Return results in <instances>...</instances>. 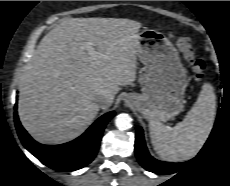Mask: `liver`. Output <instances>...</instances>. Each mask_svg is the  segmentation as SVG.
Returning <instances> with one entry per match:
<instances>
[{
	"label": "liver",
	"mask_w": 230,
	"mask_h": 186,
	"mask_svg": "<svg viewBox=\"0 0 230 186\" xmlns=\"http://www.w3.org/2000/svg\"><path fill=\"white\" fill-rule=\"evenodd\" d=\"M141 23L123 18H67L47 33L19 84L18 115L38 142L60 144L81 134L119 86L136 80ZM89 42L98 56L90 60ZM109 102L100 106L96 99Z\"/></svg>",
	"instance_id": "liver-1"
}]
</instances>
